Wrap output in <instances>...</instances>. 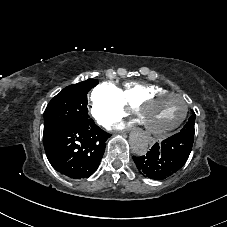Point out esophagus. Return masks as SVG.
<instances>
[{"label":"esophagus","instance_id":"obj_1","mask_svg":"<svg viewBox=\"0 0 227 227\" xmlns=\"http://www.w3.org/2000/svg\"><path fill=\"white\" fill-rule=\"evenodd\" d=\"M155 145H156V140L155 139H150L149 142L147 143V148L148 149H153Z\"/></svg>","mask_w":227,"mask_h":227}]
</instances>
